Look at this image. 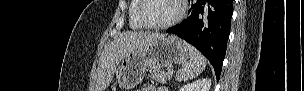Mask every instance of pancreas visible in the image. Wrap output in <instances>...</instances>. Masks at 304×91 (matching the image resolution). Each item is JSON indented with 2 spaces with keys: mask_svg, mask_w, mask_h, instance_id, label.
<instances>
[{
  "mask_svg": "<svg viewBox=\"0 0 304 91\" xmlns=\"http://www.w3.org/2000/svg\"><path fill=\"white\" fill-rule=\"evenodd\" d=\"M149 73L150 78L161 83H166L172 77V74H169L168 72H165L158 68H150Z\"/></svg>",
  "mask_w": 304,
  "mask_h": 91,
  "instance_id": "pancreas-1",
  "label": "pancreas"
}]
</instances>
